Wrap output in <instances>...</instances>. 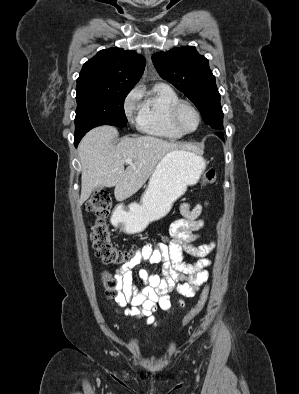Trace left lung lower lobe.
<instances>
[{
	"label": "left lung lower lobe",
	"instance_id": "obj_1",
	"mask_svg": "<svg viewBox=\"0 0 299 394\" xmlns=\"http://www.w3.org/2000/svg\"><path fill=\"white\" fill-rule=\"evenodd\" d=\"M219 137H220L222 140H224V139H223V135L219 134Z\"/></svg>",
	"mask_w": 299,
	"mask_h": 394
}]
</instances>
